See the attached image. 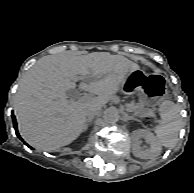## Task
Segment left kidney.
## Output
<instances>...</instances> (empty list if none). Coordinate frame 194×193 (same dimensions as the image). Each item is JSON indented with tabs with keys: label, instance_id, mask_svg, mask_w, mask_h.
<instances>
[{
	"label": "left kidney",
	"instance_id": "obj_1",
	"mask_svg": "<svg viewBox=\"0 0 194 193\" xmlns=\"http://www.w3.org/2000/svg\"><path fill=\"white\" fill-rule=\"evenodd\" d=\"M141 138H144L149 144V149L141 148ZM161 150V144L152 132L145 129H137L132 132V152L136 157L153 159L160 155Z\"/></svg>",
	"mask_w": 194,
	"mask_h": 193
}]
</instances>
